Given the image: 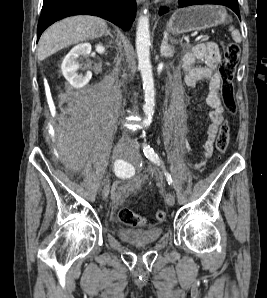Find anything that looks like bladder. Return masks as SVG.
Wrapping results in <instances>:
<instances>
[{"mask_svg":"<svg viewBox=\"0 0 267 298\" xmlns=\"http://www.w3.org/2000/svg\"><path fill=\"white\" fill-rule=\"evenodd\" d=\"M161 227L150 229L120 228L117 236L120 240L135 247H143L155 243L162 236Z\"/></svg>","mask_w":267,"mask_h":298,"instance_id":"31cf9c89","label":"bladder"}]
</instances>
